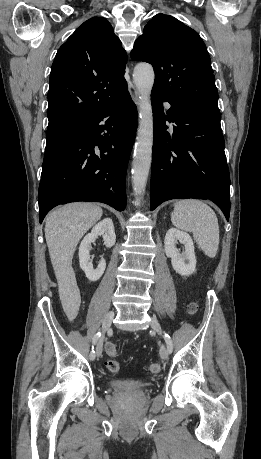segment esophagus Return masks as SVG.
Instances as JSON below:
<instances>
[{
    "instance_id": "1",
    "label": "esophagus",
    "mask_w": 261,
    "mask_h": 459,
    "mask_svg": "<svg viewBox=\"0 0 261 459\" xmlns=\"http://www.w3.org/2000/svg\"><path fill=\"white\" fill-rule=\"evenodd\" d=\"M128 91L131 95L132 100L138 104L139 103V94L135 88V86L132 84V82L128 83Z\"/></svg>"
}]
</instances>
